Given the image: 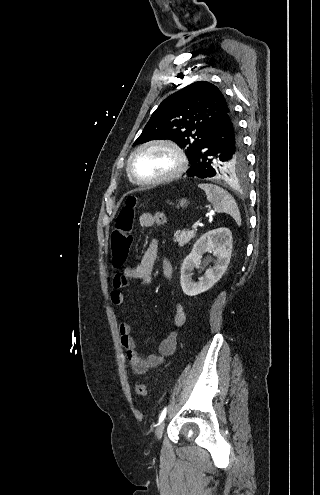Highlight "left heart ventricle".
Masks as SVG:
<instances>
[{
    "instance_id": "1",
    "label": "left heart ventricle",
    "mask_w": 320,
    "mask_h": 495,
    "mask_svg": "<svg viewBox=\"0 0 320 495\" xmlns=\"http://www.w3.org/2000/svg\"><path fill=\"white\" fill-rule=\"evenodd\" d=\"M177 161L165 147H152L139 152L133 159L132 170L141 179H154L172 172Z\"/></svg>"
}]
</instances>
